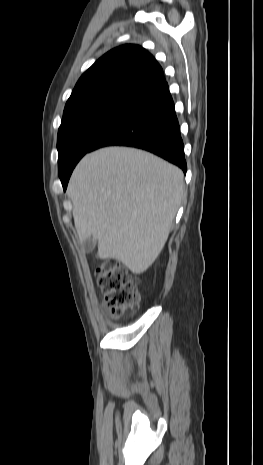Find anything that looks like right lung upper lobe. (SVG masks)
<instances>
[{"mask_svg": "<svg viewBox=\"0 0 263 465\" xmlns=\"http://www.w3.org/2000/svg\"><path fill=\"white\" fill-rule=\"evenodd\" d=\"M163 83V70L149 52L138 45H123L103 55L80 77L64 112L99 98L138 99Z\"/></svg>", "mask_w": 263, "mask_h": 465, "instance_id": "obj_1", "label": "right lung upper lobe"}]
</instances>
